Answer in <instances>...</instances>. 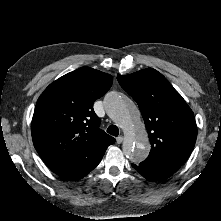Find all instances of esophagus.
I'll return each instance as SVG.
<instances>
[{
    "label": "esophagus",
    "mask_w": 221,
    "mask_h": 221,
    "mask_svg": "<svg viewBox=\"0 0 221 221\" xmlns=\"http://www.w3.org/2000/svg\"><path fill=\"white\" fill-rule=\"evenodd\" d=\"M123 140H124L123 136H119L116 138L117 144H121L123 142Z\"/></svg>",
    "instance_id": "34e87169"
}]
</instances>
